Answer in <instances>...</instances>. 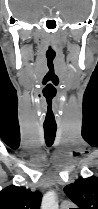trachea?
<instances>
[{
    "mask_svg": "<svg viewBox=\"0 0 98 209\" xmlns=\"http://www.w3.org/2000/svg\"><path fill=\"white\" fill-rule=\"evenodd\" d=\"M56 130V127L44 126V137L47 146H52L55 140Z\"/></svg>",
    "mask_w": 98,
    "mask_h": 209,
    "instance_id": "obj_1",
    "label": "trachea"
}]
</instances>
